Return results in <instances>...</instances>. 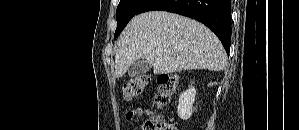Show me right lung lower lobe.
Masks as SVG:
<instances>
[{
    "label": "right lung lower lobe",
    "instance_id": "1",
    "mask_svg": "<svg viewBox=\"0 0 299 130\" xmlns=\"http://www.w3.org/2000/svg\"><path fill=\"white\" fill-rule=\"evenodd\" d=\"M162 10L187 16L202 22L222 42L227 53L231 45L230 0H147L137 14Z\"/></svg>",
    "mask_w": 299,
    "mask_h": 130
}]
</instances>
